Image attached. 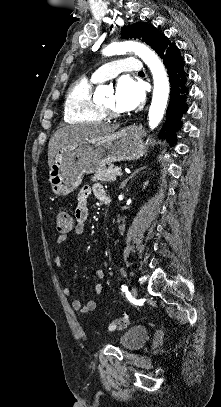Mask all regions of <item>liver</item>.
<instances>
[{
  "label": "liver",
  "instance_id": "6515ba94",
  "mask_svg": "<svg viewBox=\"0 0 221 407\" xmlns=\"http://www.w3.org/2000/svg\"><path fill=\"white\" fill-rule=\"evenodd\" d=\"M118 127V125L94 123L69 125L58 129L52 135L48 144L49 166L57 152L64 146L81 141L95 140L104 135L113 133Z\"/></svg>",
  "mask_w": 221,
  "mask_h": 407
}]
</instances>
